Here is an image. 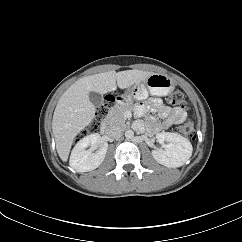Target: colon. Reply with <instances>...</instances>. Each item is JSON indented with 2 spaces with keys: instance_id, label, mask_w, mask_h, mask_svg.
<instances>
[{
  "instance_id": "obj_1",
  "label": "colon",
  "mask_w": 242,
  "mask_h": 242,
  "mask_svg": "<svg viewBox=\"0 0 242 242\" xmlns=\"http://www.w3.org/2000/svg\"><path fill=\"white\" fill-rule=\"evenodd\" d=\"M115 102V97L109 95L105 98L102 105L97 109L95 117L93 120L89 122L87 127L79 133V136L85 135L89 132H97L101 122L105 119L110 109L113 107ZM169 105L184 110L187 108V101L182 91L176 90L170 94L168 98ZM179 131L181 134L186 136L189 139L195 138L194 126L191 121H185L183 124L180 125Z\"/></svg>"
}]
</instances>
